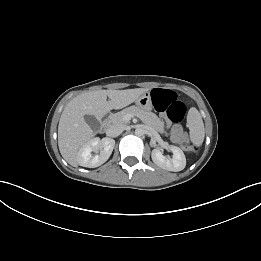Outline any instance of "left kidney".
Segmentation results:
<instances>
[{
  "instance_id": "5707ae66",
  "label": "left kidney",
  "mask_w": 261,
  "mask_h": 261,
  "mask_svg": "<svg viewBox=\"0 0 261 261\" xmlns=\"http://www.w3.org/2000/svg\"><path fill=\"white\" fill-rule=\"evenodd\" d=\"M173 153L172 158L163 156L160 149H153L151 153L152 161L162 169L178 172L185 168L186 158L183 151L174 145L169 146Z\"/></svg>"
}]
</instances>
